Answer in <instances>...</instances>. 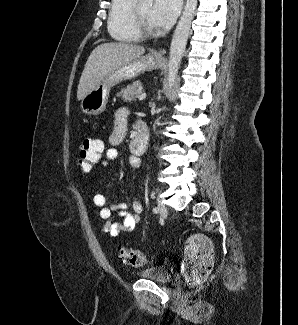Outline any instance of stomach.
Masks as SVG:
<instances>
[{"instance_id": "1", "label": "stomach", "mask_w": 298, "mask_h": 325, "mask_svg": "<svg viewBox=\"0 0 298 325\" xmlns=\"http://www.w3.org/2000/svg\"><path fill=\"white\" fill-rule=\"evenodd\" d=\"M166 62L165 58L156 56V52H148L144 56H137L131 62L121 64L106 74L95 88H92L84 98L80 100V108L85 114H101L106 108L112 86L120 84L123 80H132L146 70H157L161 64Z\"/></svg>"}]
</instances>
